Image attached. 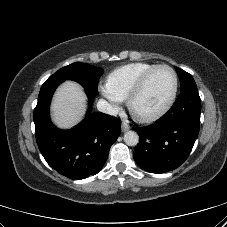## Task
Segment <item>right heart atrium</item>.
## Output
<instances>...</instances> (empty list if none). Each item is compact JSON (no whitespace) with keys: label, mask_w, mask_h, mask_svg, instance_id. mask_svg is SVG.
Instances as JSON below:
<instances>
[{"label":"right heart atrium","mask_w":227,"mask_h":227,"mask_svg":"<svg viewBox=\"0 0 227 227\" xmlns=\"http://www.w3.org/2000/svg\"><path fill=\"white\" fill-rule=\"evenodd\" d=\"M100 93L107 100L110 110L116 111L122 103V100L116 96L106 85L99 87Z\"/></svg>","instance_id":"obj_1"}]
</instances>
